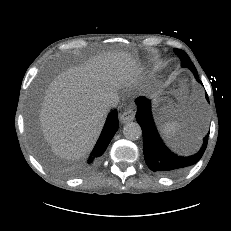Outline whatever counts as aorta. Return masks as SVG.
I'll return each instance as SVG.
<instances>
[{"instance_id": "762f6f07", "label": "aorta", "mask_w": 231, "mask_h": 231, "mask_svg": "<svg viewBox=\"0 0 231 231\" xmlns=\"http://www.w3.org/2000/svg\"><path fill=\"white\" fill-rule=\"evenodd\" d=\"M123 134L128 140H137L142 135V129L136 122H130L123 127Z\"/></svg>"}]
</instances>
